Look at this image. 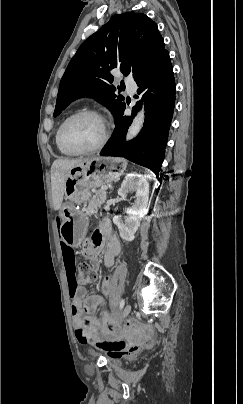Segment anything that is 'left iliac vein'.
<instances>
[{
    "instance_id": "1",
    "label": "left iliac vein",
    "mask_w": 243,
    "mask_h": 404,
    "mask_svg": "<svg viewBox=\"0 0 243 404\" xmlns=\"http://www.w3.org/2000/svg\"><path fill=\"white\" fill-rule=\"evenodd\" d=\"M131 305L130 304H127L126 306H125V308L123 309V311H122V313H121V315H120V322H122L128 315H129V313H130V311H131Z\"/></svg>"
}]
</instances>
